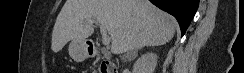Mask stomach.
I'll return each instance as SVG.
<instances>
[{
	"mask_svg": "<svg viewBox=\"0 0 244 73\" xmlns=\"http://www.w3.org/2000/svg\"><path fill=\"white\" fill-rule=\"evenodd\" d=\"M69 55L77 62L84 61L88 57V47L85 41H71Z\"/></svg>",
	"mask_w": 244,
	"mask_h": 73,
	"instance_id": "obj_1",
	"label": "stomach"
}]
</instances>
